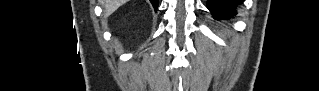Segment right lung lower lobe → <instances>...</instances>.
<instances>
[{"instance_id":"98d812e1","label":"right lung lower lobe","mask_w":319,"mask_h":91,"mask_svg":"<svg viewBox=\"0 0 319 91\" xmlns=\"http://www.w3.org/2000/svg\"><path fill=\"white\" fill-rule=\"evenodd\" d=\"M150 2L152 3L155 11H157V8H158V0H150Z\"/></svg>"}]
</instances>
